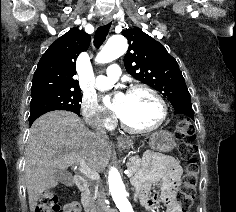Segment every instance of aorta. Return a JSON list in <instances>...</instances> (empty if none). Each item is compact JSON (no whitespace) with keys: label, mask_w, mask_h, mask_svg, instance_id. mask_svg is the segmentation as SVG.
<instances>
[{"label":"aorta","mask_w":236,"mask_h":212,"mask_svg":"<svg viewBox=\"0 0 236 212\" xmlns=\"http://www.w3.org/2000/svg\"><path fill=\"white\" fill-rule=\"evenodd\" d=\"M128 48L127 40L122 35L112 36L98 53V63H108L122 56ZM109 191L119 212H134L127 198L125 185L118 170L112 167L108 177Z\"/></svg>","instance_id":"aorta-1"}]
</instances>
